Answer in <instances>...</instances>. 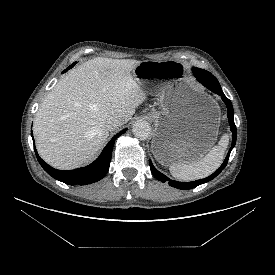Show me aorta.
<instances>
[{"label":"aorta","mask_w":275,"mask_h":275,"mask_svg":"<svg viewBox=\"0 0 275 275\" xmlns=\"http://www.w3.org/2000/svg\"><path fill=\"white\" fill-rule=\"evenodd\" d=\"M132 132L138 139L145 140L151 133V126L147 121L138 120L133 124Z\"/></svg>","instance_id":"1"}]
</instances>
